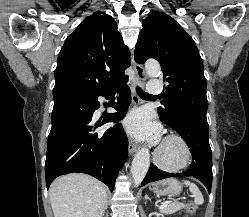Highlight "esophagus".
<instances>
[{
	"mask_svg": "<svg viewBox=\"0 0 249 217\" xmlns=\"http://www.w3.org/2000/svg\"><path fill=\"white\" fill-rule=\"evenodd\" d=\"M132 65L135 71V78L134 81L131 83L132 104L138 105L140 99L136 93V86H141L145 82L146 73L144 68L135 61L134 57L132 59ZM128 150L130 154H133L138 150V145L131 138H129Z\"/></svg>",
	"mask_w": 249,
	"mask_h": 217,
	"instance_id": "obj_1",
	"label": "esophagus"
}]
</instances>
